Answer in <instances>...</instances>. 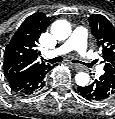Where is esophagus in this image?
<instances>
[{"label": "esophagus", "instance_id": "esophagus-1", "mask_svg": "<svg viewBox=\"0 0 115 119\" xmlns=\"http://www.w3.org/2000/svg\"><path fill=\"white\" fill-rule=\"evenodd\" d=\"M70 64V67L73 69V70H82L83 67L77 63H74V62H69Z\"/></svg>", "mask_w": 115, "mask_h": 119}]
</instances>
